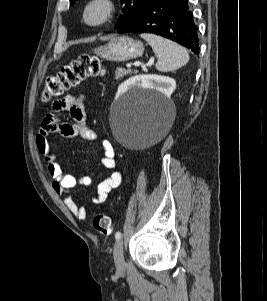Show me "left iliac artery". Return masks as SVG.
<instances>
[{"label":"left iliac artery","mask_w":267,"mask_h":301,"mask_svg":"<svg viewBox=\"0 0 267 301\" xmlns=\"http://www.w3.org/2000/svg\"><path fill=\"white\" fill-rule=\"evenodd\" d=\"M121 237V232L120 231H117L116 233H115V238L116 239H119Z\"/></svg>","instance_id":"obj_1"}]
</instances>
